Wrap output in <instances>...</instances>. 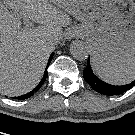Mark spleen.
Listing matches in <instances>:
<instances>
[{"label":"spleen","instance_id":"obj_1","mask_svg":"<svg viewBox=\"0 0 135 135\" xmlns=\"http://www.w3.org/2000/svg\"><path fill=\"white\" fill-rule=\"evenodd\" d=\"M92 66L105 81L115 85H124L135 79V59L114 68H105L97 59L92 58Z\"/></svg>","mask_w":135,"mask_h":135}]
</instances>
